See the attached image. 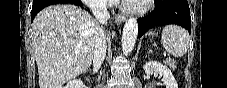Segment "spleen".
I'll use <instances>...</instances> for the list:
<instances>
[{"instance_id":"1","label":"spleen","mask_w":227,"mask_h":88,"mask_svg":"<svg viewBox=\"0 0 227 88\" xmlns=\"http://www.w3.org/2000/svg\"><path fill=\"white\" fill-rule=\"evenodd\" d=\"M189 34L180 26L167 25L162 30V43L168 53L181 57L189 48Z\"/></svg>"}]
</instances>
